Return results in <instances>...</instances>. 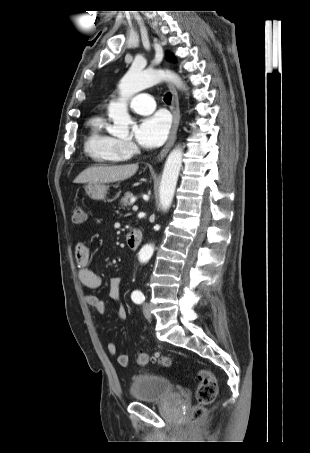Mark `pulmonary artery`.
I'll return each mask as SVG.
<instances>
[{"label":"pulmonary artery","mask_w":310,"mask_h":453,"mask_svg":"<svg viewBox=\"0 0 310 453\" xmlns=\"http://www.w3.org/2000/svg\"><path fill=\"white\" fill-rule=\"evenodd\" d=\"M131 109L138 114H149L155 109V101L149 94H137L129 100Z\"/></svg>","instance_id":"e3ab8cb5"}]
</instances>
